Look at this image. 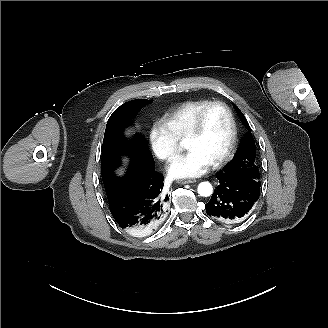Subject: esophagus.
I'll return each mask as SVG.
<instances>
[{
	"label": "esophagus",
	"instance_id": "34e87169",
	"mask_svg": "<svg viewBox=\"0 0 328 328\" xmlns=\"http://www.w3.org/2000/svg\"><path fill=\"white\" fill-rule=\"evenodd\" d=\"M195 182L196 179L194 178H181L176 180L177 184H188V183H195Z\"/></svg>",
	"mask_w": 328,
	"mask_h": 328
}]
</instances>
